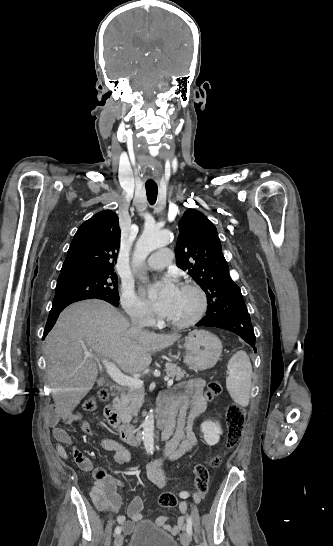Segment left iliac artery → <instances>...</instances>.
Instances as JSON below:
<instances>
[{
	"mask_svg": "<svg viewBox=\"0 0 333 546\" xmlns=\"http://www.w3.org/2000/svg\"><path fill=\"white\" fill-rule=\"evenodd\" d=\"M180 496H183V494L181 493ZM186 531L190 535L192 534V518L188 519V521H187Z\"/></svg>",
	"mask_w": 333,
	"mask_h": 546,
	"instance_id": "left-iliac-artery-1",
	"label": "left iliac artery"
}]
</instances>
